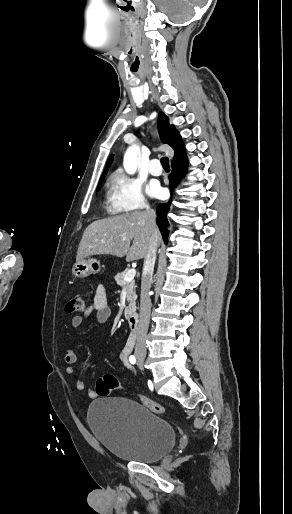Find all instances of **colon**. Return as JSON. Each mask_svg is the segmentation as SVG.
Segmentation results:
<instances>
[{"mask_svg": "<svg viewBox=\"0 0 292 514\" xmlns=\"http://www.w3.org/2000/svg\"><path fill=\"white\" fill-rule=\"evenodd\" d=\"M84 308V302L81 295H75L73 296L69 301L66 303V312L67 313H77L83 311ZM122 389L121 383L118 381V379L111 375L107 374L104 376H101L98 378L95 390L100 395L101 398H106L110 395L111 391L120 390ZM139 401L142 403L144 407H146L149 411L163 415L165 414V407L156 401L144 397L139 396Z\"/></svg>", "mask_w": 292, "mask_h": 514, "instance_id": "1", "label": "colon"}]
</instances>
